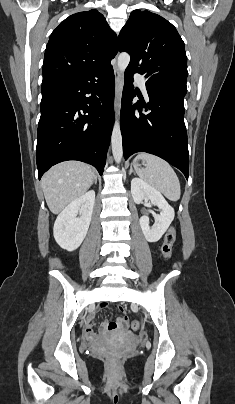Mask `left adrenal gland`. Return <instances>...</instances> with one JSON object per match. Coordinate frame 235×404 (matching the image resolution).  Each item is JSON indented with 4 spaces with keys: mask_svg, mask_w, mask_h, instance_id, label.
I'll return each mask as SVG.
<instances>
[{
    "mask_svg": "<svg viewBox=\"0 0 235 404\" xmlns=\"http://www.w3.org/2000/svg\"><path fill=\"white\" fill-rule=\"evenodd\" d=\"M132 172H133V169H132V166H131L130 170H129V175H131Z\"/></svg>",
    "mask_w": 235,
    "mask_h": 404,
    "instance_id": "a2214340",
    "label": "left adrenal gland"
}]
</instances>
